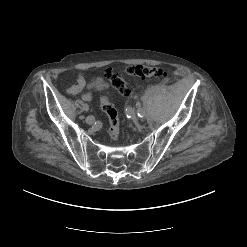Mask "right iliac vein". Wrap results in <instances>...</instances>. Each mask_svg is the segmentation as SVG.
<instances>
[{
	"label": "right iliac vein",
	"mask_w": 247,
	"mask_h": 247,
	"mask_svg": "<svg viewBox=\"0 0 247 247\" xmlns=\"http://www.w3.org/2000/svg\"><path fill=\"white\" fill-rule=\"evenodd\" d=\"M87 111V110H86ZM94 117L93 116H88L87 118H86V123L87 124H93L94 123Z\"/></svg>",
	"instance_id": "obj_1"
}]
</instances>
